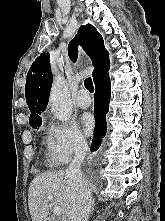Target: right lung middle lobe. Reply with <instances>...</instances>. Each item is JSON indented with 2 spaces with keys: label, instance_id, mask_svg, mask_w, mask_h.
Here are the masks:
<instances>
[{
  "label": "right lung middle lobe",
  "instance_id": "1",
  "mask_svg": "<svg viewBox=\"0 0 165 221\" xmlns=\"http://www.w3.org/2000/svg\"><path fill=\"white\" fill-rule=\"evenodd\" d=\"M29 122L33 128H39L42 124V119L36 118V119L30 120Z\"/></svg>",
  "mask_w": 165,
  "mask_h": 221
}]
</instances>
